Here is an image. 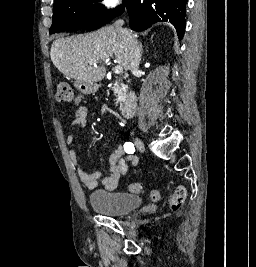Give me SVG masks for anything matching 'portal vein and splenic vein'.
<instances>
[{
  "label": "portal vein and splenic vein",
  "mask_w": 256,
  "mask_h": 267,
  "mask_svg": "<svg viewBox=\"0 0 256 267\" xmlns=\"http://www.w3.org/2000/svg\"><path fill=\"white\" fill-rule=\"evenodd\" d=\"M96 62V60H95ZM95 62H90V64H95ZM109 62V60H108ZM120 72H123V68L121 66H115V74H120Z\"/></svg>",
  "instance_id": "obj_1"
}]
</instances>
